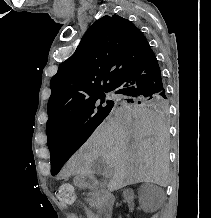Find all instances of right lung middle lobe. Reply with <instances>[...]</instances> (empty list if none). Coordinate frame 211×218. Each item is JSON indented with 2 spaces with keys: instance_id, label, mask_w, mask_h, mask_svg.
I'll return each mask as SVG.
<instances>
[{
  "instance_id": "obj_1",
  "label": "right lung middle lobe",
  "mask_w": 211,
  "mask_h": 218,
  "mask_svg": "<svg viewBox=\"0 0 211 218\" xmlns=\"http://www.w3.org/2000/svg\"><path fill=\"white\" fill-rule=\"evenodd\" d=\"M109 91L111 90L105 92ZM105 97V93L99 94L62 115L53 126L47 129L49 148L67 145L73 146L77 150L116 105H149L162 112L168 109L167 98L163 97H117L112 99ZM63 164V161L52 160L51 174L56 175Z\"/></svg>"
}]
</instances>
